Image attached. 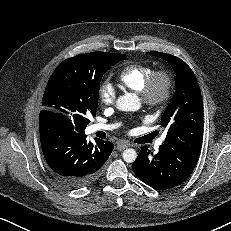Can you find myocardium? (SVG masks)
<instances>
[{
	"label": "myocardium",
	"instance_id": "obj_1",
	"mask_svg": "<svg viewBox=\"0 0 231 231\" xmlns=\"http://www.w3.org/2000/svg\"><path fill=\"white\" fill-rule=\"evenodd\" d=\"M174 94V78L167 69L152 72L139 96L143 103L156 110H162L170 103Z\"/></svg>",
	"mask_w": 231,
	"mask_h": 231
}]
</instances>
